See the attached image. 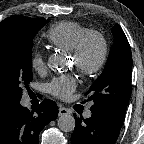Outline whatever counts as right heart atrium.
<instances>
[{
  "label": "right heart atrium",
  "instance_id": "d8ad5b80",
  "mask_svg": "<svg viewBox=\"0 0 144 144\" xmlns=\"http://www.w3.org/2000/svg\"><path fill=\"white\" fill-rule=\"evenodd\" d=\"M31 66L37 72L43 71L45 69L46 63L42 53H34V55L31 58Z\"/></svg>",
  "mask_w": 144,
  "mask_h": 144
}]
</instances>
